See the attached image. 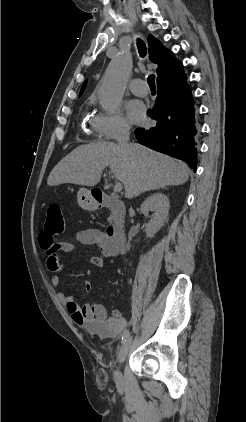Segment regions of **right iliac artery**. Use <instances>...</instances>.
I'll return each instance as SVG.
<instances>
[{"label":"right iliac artery","instance_id":"obj_1","mask_svg":"<svg viewBox=\"0 0 246 422\" xmlns=\"http://www.w3.org/2000/svg\"><path fill=\"white\" fill-rule=\"evenodd\" d=\"M129 330H125L124 331V333H123V335H122V343H124L127 339H128V337H129Z\"/></svg>","mask_w":246,"mask_h":422}]
</instances>
